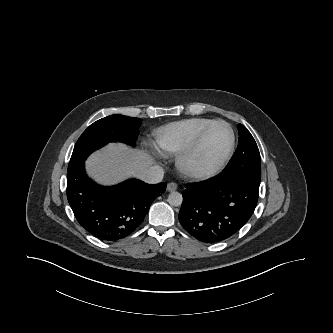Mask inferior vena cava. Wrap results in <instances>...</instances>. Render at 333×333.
I'll return each instance as SVG.
<instances>
[{"instance_id":"602c4592","label":"inferior vena cava","mask_w":333,"mask_h":333,"mask_svg":"<svg viewBox=\"0 0 333 333\" xmlns=\"http://www.w3.org/2000/svg\"><path fill=\"white\" fill-rule=\"evenodd\" d=\"M163 175L164 171L162 167L158 165H151L139 172L137 174V178L146 183L156 184L161 182V180L163 179Z\"/></svg>"}]
</instances>
